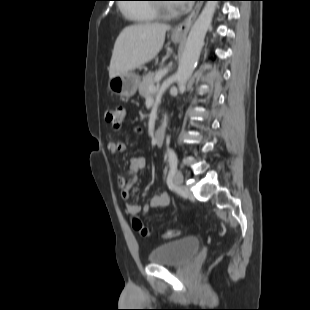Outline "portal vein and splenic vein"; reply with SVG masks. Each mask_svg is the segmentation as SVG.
<instances>
[{"label":"portal vein and splenic vein","instance_id":"1","mask_svg":"<svg viewBox=\"0 0 310 310\" xmlns=\"http://www.w3.org/2000/svg\"><path fill=\"white\" fill-rule=\"evenodd\" d=\"M156 90H157V89H156L155 86H151V87L149 88L150 93H155Z\"/></svg>","mask_w":310,"mask_h":310}]
</instances>
